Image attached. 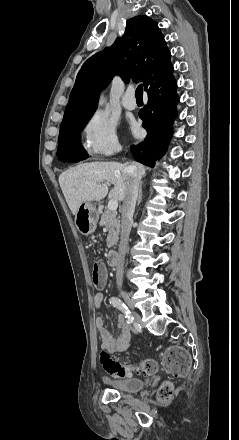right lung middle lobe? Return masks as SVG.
<instances>
[{"label": "right lung middle lobe", "mask_w": 239, "mask_h": 440, "mask_svg": "<svg viewBox=\"0 0 239 440\" xmlns=\"http://www.w3.org/2000/svg\"><path fill=\"white\" fill-rule=\"evenodd\" d=\"M93 113L75 117L61 124L57 153L61 152L62 150L71 148L73 146H79L81 144L80 132L88 123Z\"/></svg>", "instance_id": "1"}]
</instances>
